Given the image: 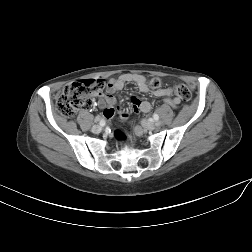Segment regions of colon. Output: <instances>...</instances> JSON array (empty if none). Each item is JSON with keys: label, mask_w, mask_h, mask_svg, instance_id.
I'll return each mask as SVG.
<instances>
[{"label": "colon", "mask_w": 252, "mask_h": 252, "mask_svg": "<svg viewBox=\"0 0 252 252\" xmlns=\"http://www.w3.org/2000/svg\"><path fill=\"white\" fill-rule=\"evenodd\" d=\"M147 85L152 89H159L162 81L158 77H151L147 81ZM104 88L101 80L89 79L79 80L67 86L57 101L59 112L65 117H73L78 110L91 104V97L100 95ZM175 94L184 101L191 99L190 89L183 84H177L174 87ZM128 116L126 111H122V118ZM115 136L119 140H123L125 135L123 132L115 131Z\"/></svg>", "instance_id": "colon-1"}]
</instances>
